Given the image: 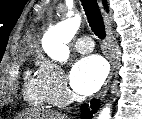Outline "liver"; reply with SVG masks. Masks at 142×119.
<instances>
[{
  "mask_svg": "<svg viewBox=\"0 0 142 119\" xmlns=\"http://www.w3.org/2000/svg\"><path fill=\"white\" fill-rule=\"evenodd\" d=\"M19 119H70L65 114L52 111L32 109L18 116Z\"/></svg>",
  "mask_w": 142,
  "mask_h": 119,
  "instance_id": "6515ba94",
  "label": "liver"
}]
</instances>
